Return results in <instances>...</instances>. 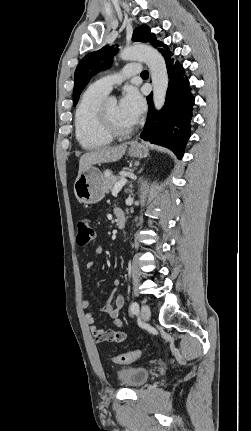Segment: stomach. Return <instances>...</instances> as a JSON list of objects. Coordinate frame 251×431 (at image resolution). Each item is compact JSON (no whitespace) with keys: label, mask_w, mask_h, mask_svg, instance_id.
<instances>
[{"label":"stomach","mask_w":251,"mask_h":431,"mask_svg":"<svg viewBox=\"0 0 251 431\" xmlns=\"http://www.w3.org/2000/svg\"><path fill=\"white\" fill-rule=\"evenodd\" d=\"M128 153L131 157L143 158L147 156L148 149L143 144L133 143ZM74 193L77 200L83 204H95L101 201L106 193L103 173L97 167L89 166L76 178Z\"/></svg>","instance_id":"stomach-1"}]
</instances>
